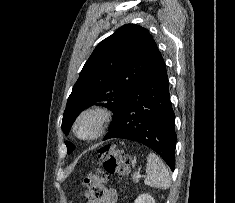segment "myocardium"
<instances>
[{
	"instance_id": "obj_1",
	"label": "myocardium",
	"mask_w": 235,
	"mask_h": 203,
	"mask_svg": "<svg viewBox=\"0 0 235 203\" xmlns=\"http://www.w3.org/2000/svg\"><path fill=\"white\" fill-rule=\"evenodd\" d=\"M111 111L101 105L89 106L83 109L76 117L73 124V131L77 138L84 141H93L98 139L107 129L111 120ZM92 117L96 121V127L94 132L89 136H82L79 132V124L85 118Z\"/></svg>"
}]
</instances>
